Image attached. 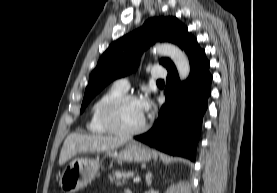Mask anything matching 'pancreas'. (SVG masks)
Returning <instances> with one entry per match:
<instances>
[{
	"label": "pancreas",
	"mask_w": 277,
	"mask_h": 193,
	"mask_svg": "<svg viewBox=\"0 0 277 193\" xmlns=\"http://www.w3.org/2000/svg\"><path fill=\"white\" fill-rule=\"evenodd\" d=\"M134 176V172H125L120 170H113L112 173L108 175L110 181L117 185L125 184L126 180Z\"/></svg>",
	"instance_id": "1"
}]
</instances>
